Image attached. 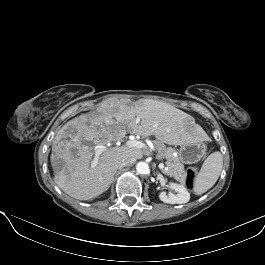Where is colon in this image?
I'll return each instance as SVG.
<instances>
[{
  "label": "colon",
  "mask_w": 265,
  "mask_h": 265,
  "mask_svg": "<svg viewBox=\"0 0 265 265\" xmlns=\"http://www.w3.org/2000/svg\"><path fill=\"white\" fill-rule=\"evenodd\" d=\"M197 168L190 167L186 172V186L188 189H192L195 181V177L197 175Z\"/></svg>",
  "instance_id": "obj_1"
}]
</instances>
